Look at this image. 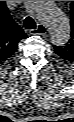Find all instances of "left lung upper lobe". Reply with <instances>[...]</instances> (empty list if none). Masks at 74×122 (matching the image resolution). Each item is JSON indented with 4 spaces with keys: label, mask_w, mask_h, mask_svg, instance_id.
<instances>
[{
    "label": "left lung upper lobe",
    "mask_w": 74,
    "mask_h": 122,
    "mask_svg": "<svg viewBox=\"0 0 74 122\" xmlns=\"http://www.w3.org/2000/svg\"><path fill=\"white\" fill-rule=\"evenodd\" d=\"M71 9V38L64 46H55V53L66 61L74 62V2L70 4Z\"/></svg>",
    "instance_id": "left-lung-upper-lobe-1"
}]
</instances>
